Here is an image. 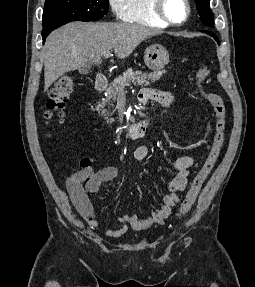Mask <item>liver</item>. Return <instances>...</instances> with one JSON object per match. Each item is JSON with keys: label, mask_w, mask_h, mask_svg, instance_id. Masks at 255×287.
I'll return each instance as SVG.
<instances>
[{"label": "liver", "mask_w": 255, "mask_h": 287, "mask_svg": "<svg viewBox=\"0 0 255 287\" xmlns=\"http://www.w3.org/2000/svg\"><path fill=\"white\" fill-rule=\"evenodd\" d=\"M159 32L123 22L86 24L70 22L48 36L42 50L44 64V92L65 72H72L90 64H101V56L114 50L124 60L133 50Z\"/></svg>", "instance_id": "6515ba94"}]
</instances>
